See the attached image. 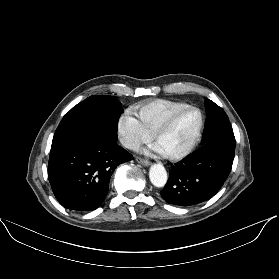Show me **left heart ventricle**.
<instances>
[{"label":"left heart ventricle","mask_w":279,"mask_h":279,"mask_svg":"<svg viewBox=\"0 0 279 279\" xmlns=\"http://www.w3.org/2000/svg\"><path fill=\"white\" fill-rule=\"evenodd\" d=\"M198 124V113L195 110H186L176 118L170 130L158 140L157 144L166 155L177 154L188 146Z\"/></svg>","instance_id":"b2bd125f"}]
</instances>
